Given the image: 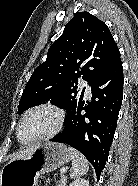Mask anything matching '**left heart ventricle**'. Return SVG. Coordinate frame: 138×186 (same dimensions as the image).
Returning a JSON list of instances; mask_svg holds the SVG:
<instances>
[{
    "label": "left heart ventricle",
    "mask_w": 138,
    "mask_h": 186,
    "mask_svg": "<svg viewBox=\"0 0 138 186\" xmlns=\"http://www.w3.org/2000/svg\"><path fill=\"white\" fill-rule=\"evenodd\" d=\"M57 122L58 117L51 110L34 111L24 120L20 129V136L25 141L37 138L53 130Z\"/></svg>",
    "instance_id": "1"
}]
</instances>
